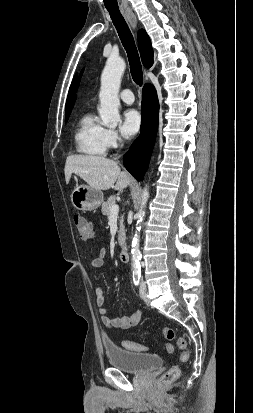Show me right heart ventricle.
Returning <instances> with one entry per match:
<instances>
[{
    "label": "right heart ventricle",
    "instance_id": "e07e8e85",
    "mask_svg": "<svg viewBox=\"0 0 253 413\" xmlns=\"http://www.w3.org/2000/svg\"><path fill=\"white\" fill-rule=\"evenodd\" d=\"M76 150L86 156L102 157L106 154L105 128L91 113H85L78 121L74 135Z\"/></svg>",
    "mask_w": 253,
    "mask_h": 413
}]
</instances>
